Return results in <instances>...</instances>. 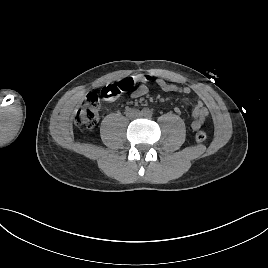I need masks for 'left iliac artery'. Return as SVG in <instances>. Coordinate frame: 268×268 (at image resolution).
<instances>
[{"mask_svg":"<svg viewBox=\"0 0 268 268\" xmlns=\"http://www.w3.org/2000/svg\"><path fill=\"white\" fill-rule=\"evenodd\" d=\"M149 117H151L152 116V112H148V114H147Z\"/></svg>","mask_w":268,"mask_h":268,"instance_id":"left-iliac-artery-1","label":"left iliac artery"}]
</instances>
